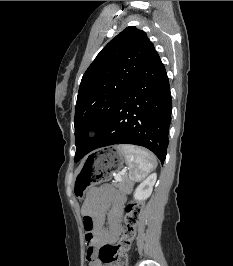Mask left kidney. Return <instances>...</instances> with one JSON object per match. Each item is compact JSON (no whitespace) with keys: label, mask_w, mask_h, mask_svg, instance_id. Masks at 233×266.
Returning a JSON list of instances; mask_svg holds the SVG:
<instances>
[{"label":"left kidney","mask_w":233,"mask_h":266,"mask_svg":"<svg viewBox=\"0 0 233 266\" xmlns=\"http://www.w3.org/2000/svg\"><path fill=\"white\" fill-rule=\"evenodd\" d=\"M156 174L149 175L134 191V198L138 201H144L150 197L153 186L156 182Z\"/></svg>","instance_id":"left-kidney-1"}]
</instances>
